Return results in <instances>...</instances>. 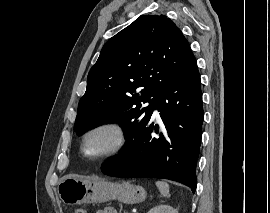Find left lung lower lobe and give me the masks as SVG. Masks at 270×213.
<instances>
[{"instance_id":"0a47b994","label":"left lung lower lobe","mask_w":270,"mask_h":213,"mask_svg":"<svg viewBox=\"0 0 270 213\" xmlns=\"http://www.w3.org/2000/svg\"><path fill=\"white\" fill-rule=\"evenodd\" d=\"M163 121L159 137L148 122L124 150L103 163L102 172L115 177H151L178 181L196 190L204 112L200 75L195 63L177 76L156 98ZM159 127L155 126V132Z\"/></svg>"}]
</instances>
